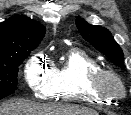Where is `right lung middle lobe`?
Masks as SVG:
<instances>
[{
  "label": "right lung middle lobe",
  "instance_id": "1",
  "mask_svg": "<svg viewBox=\"0 0 131 115\" xmlns=\"http://www.w3.org/2000/svg\"><path fill=\"white\" fill-rule=\"evenodd\" d=\"M33 49L20 51L9 57L8 62L0 63V99L17 90L18 66Z\"/></svg>",
  "mask_w": 131,
  "mask_h": 115
}]
</instances>
